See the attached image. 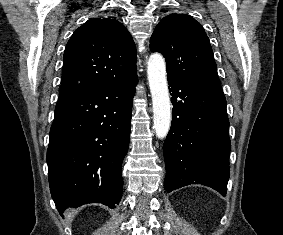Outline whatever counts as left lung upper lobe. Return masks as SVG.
Instances as JSON below:
<instances>
[{
  "label": "left lung upper lobe",
  "mask_w": 283,
  "mask_h": 235,
  "mask_svg": "<svg viewBox=\"0 0 283 235\" xmlns=\"http://www.w3.org/2000/svg\"><path fill=\"white\" fill-rule=\"evenodd\" d=\"M150 49L162 53L168 76L221 90L209 39L202 25L191 16L164 17L151 36Z\"/></svg>",
  "instance_id": "obj_1"
}]
</instances>
